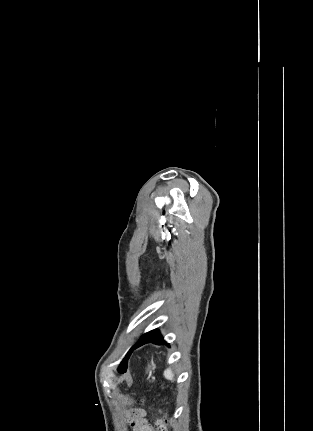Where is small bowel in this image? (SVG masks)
I'll use <instances>...</instances> for the list:
<instances>
[{"mask_svg": "<svg viewBox=\"0 0 313 431\" xmlns=\"http://www.w3.org/2000/svg\"><path fill=\"white\" fill-rule=\"evenodd\" d=\"M146 415V411L140 409L128 417V423L133 431H154L153 426L146 419Z\"/></svg>", "mask_w": 313, "mask_h": 431, "instance_id": "c3829d8e", "label": "small bowel"}]
</instances>
